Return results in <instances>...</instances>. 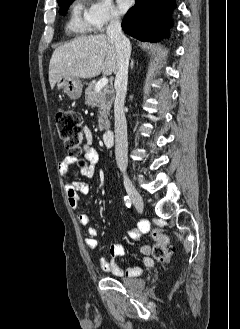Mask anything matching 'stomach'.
<instances>
[{
  "instance_id": "1",
  "label": "stomach",
  "mask_w": 240,
  "mask_h": 329,
  "mask_svg": "<svg viewBox=\"0 0 240 329\" xmlns=\"http://www.w3.org/2000/svg\"><path fill=\"white\" fill-rule=\"evenodd\" d=\"M58 89H63L70 99H78L82 94L83 83L80 78L61 76L56 82Z\"/></svg>"
}]
</instances>
